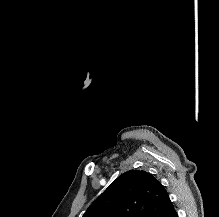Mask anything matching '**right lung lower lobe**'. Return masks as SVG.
<instances>
[{"label": "right lung lower lobe", "mask_w": 219, "mask_h": 217, "mask_svg": "<svg viewBox=\"0 0 219 217\" xmlns=\"http://www.w3.org/2000/svg\"><path fill=\"white\" fill-rule=\"evenodd\" d=\"M167 217H178V214H177L176 210L173 209V210L167 215Z\"/></svg>", "instance_id": "right-lung-lower-lobe-1"}]
</instances>
